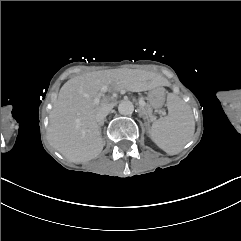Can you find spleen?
Masks as SVG:
<instances>
[{
  "instance_id": "spleen-1",
  "label": "spleen",
  "mask_w": 241,
  "mask_h": 241,
  "mask_svg": "<svg viewBox=\"0 0 241 241\" xmlns=\"http://www.w3.org/2000/svg\"><path fill=\"white\" fill-rule=\"evenodd\" d=\"M167 117L153 122L151 140L168 155H175L190 141L195 124L189 105L177 94L168 96Z\"/></svg>"
}]
</instances>
